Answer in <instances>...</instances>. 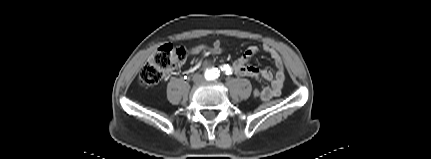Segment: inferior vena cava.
Segmentation results:
<instances>
[{"label": "inferior vena cava", "instance_id": "1", "mask_svg": "<svg viewBox=\"0 0 431 159\" xmlns=\"http://www.w3.org/2000/svg\"><path fill=\"white\" fill-rule=\"evenodd\" d=\"M194 80H195V81H202V80H203V77H202V75H198V74H196V75L194 76Z\"/></svg>", "mask_w": 431, "mask_h": 159}]
</instances>
